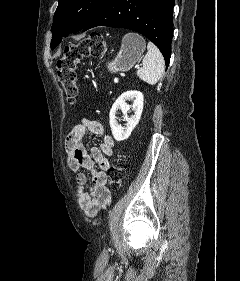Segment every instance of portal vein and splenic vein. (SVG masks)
<instances>
[{
	"label": "portal vein and splenic vein",
	"mask_w": 240,
	"mask_h": 281,
	"mask_svg": "<svg viewBox=\"0 0 240 281\" xmlns=\"http://www.w3.org/2000/svg\"><path fill=\"white\" fill-rule=\"evenodd\" d=\"M137 69H139V66H135ZM114 83H118V78H114Z\"/></svg>",
	"instance_id": "1"
}]
</instances>
